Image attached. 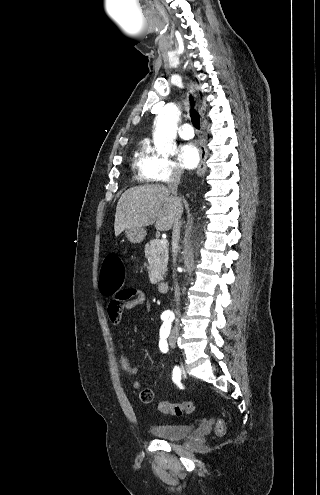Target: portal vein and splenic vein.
Here are the masks:
<instances>
[{
	"label": "portal vein and splenic vein",
	"instance_id": "18ae733b",
	"mask_svg": "<svg viewBox=\"0 0 320 495\" xmlns=\"http://www.w3.org/2000/svg\"><path fill=\"white\" fill-rule=\"evenodd\" d=\"M160 244H161V245H166V244H168L167 239H162V240L160 241Z\"/></svg>",
	"mask_w": 320,
	"mask_h": 495
}]
</instances>
